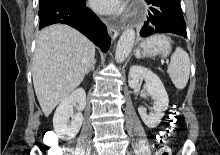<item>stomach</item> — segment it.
Segmentation results:
<instances>
[{
  "label": "stomach",
  "instance_id": "0dacf381",
  "mask_svg": "<svg viewBox=\"0 0 220 155\" xmlns=\"http://www.w3.org/2000/svg\"><path fill=\"white\" fill-rule=\"evenodd\" d=\"M171 51V41L164 34L154 35L143 41L136 51L137 57L167 56Z\"/></svg>",
  "mask_w": 220,
  "mask_h": 155
}]
</instances>
